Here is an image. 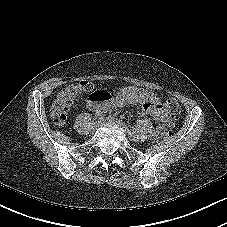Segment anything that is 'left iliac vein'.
Segmentation results:
<instances>
[{
  "instance_id": "obj_1",
  "label": "left iliac vein",
  "mask_w": 227,
  "mask_h": 227,
  "mask_svg": "<svg viewBox=\"0 0 227 227\" xmlns=\"http://www.w3.org/2000/svg\"><path fill=\"white\" fill-rule=\"evenodd\" d=\"M109 121H111V122H114V121H115V122H118V124L124 129L125 133L128 135L129 138H132V139L135 138V137L133 136L132 131H130V130L125 126V124L122 123L121 121H117V120H115V119H113V118H110Z\"/></svg>"
}]
</instances>
